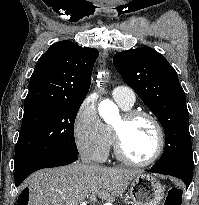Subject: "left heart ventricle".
<instances>
[{"mask_svg": "<svg viewBox=\"0 0 199 205\" xmlns=\"http://www.w3.org/2000/svg\"><path fill=\"white\" fill-rule=\"evenodd\" d=\"M113 126L120 131L122 148L127 156L142 161L153 155L157 145V133L150 120L138 118L124 123L120 116Z\"/></svg>", "mask_w": 199, "mask_h": 205, "instance_id": "1", "label": "left heart ventricle"}]
</instances>
